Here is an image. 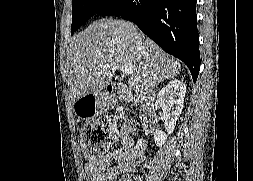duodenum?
Returning <instances> with one entry per match:
<instances>
[{
	"label": "duodenum",
	"mask_w": 253,
	"mask_h": 181,
	"mask_svg": "<svg viewBox=\"0 0 253 181\" xmlns=\"http://www.w3.org/2000/svg\"><path fill=\"white\" fill-rule=\"evenodd\" d=\"M107 95L113 102L125 100L126 92L119 87H107ZM140 102L144 105L143 128L146 132H153L156 127V114L154 112V99L149 95H144Z\"/></svg>",
	"instance_id": "duodenum-1"
}]
</instances>
